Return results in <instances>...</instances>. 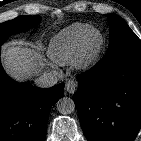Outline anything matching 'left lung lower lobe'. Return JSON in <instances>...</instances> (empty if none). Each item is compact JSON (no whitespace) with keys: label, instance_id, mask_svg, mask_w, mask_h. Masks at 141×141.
Returning <instances> with one entry per match:
<instances>
[{"label":"left lung lower lobe","instance_id":"obj_1","mask_svg":"<svg viewBox=\"0 0 141 141\" xmlns=\"http://www.w3.org/2000/svg\"><path fill=\"white\" fill-rule=\"evenodd\" d=\"M73 95L88 141H133L141 128V52L105 56Z\"/></svg>","mask_w":141,"mask_h":141}]
</instances>
